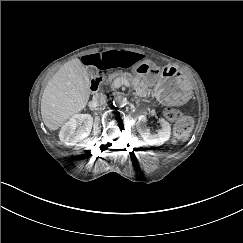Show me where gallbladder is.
Instances as JSON below:
<instances>
[{
    "label": "gallbladder",
    "mask_w": 243,
    "mask_h": 243,
    "mask_svg": "<svg viewBox=\"0 0 243 243\" xmlns=\"http://www.w3.org/2000/svg\"><path fill=\"white\" fill-rule=\"evenodd\" d=\"M86 74L89 76H95L98 74V69L93 66H88L86 69Z\"/></svg>",
    "instance_id": "obj_1"
}]
</instances>
